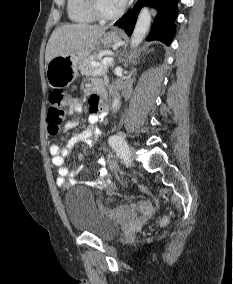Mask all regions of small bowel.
Instances as JSON below:
<instances>
[{
  "label": "small bowel",
  "mask_w": 233,
  "mask_h": 284,
  "mask_svg": "<svg viewBox=\"0 0 233 284\" xmlns=\"http://www.w3.org/2000/svg\"><path fill=\"white\" fill-rule=\"evenodd\" d=\"M97 90L100 89L98 85H96ZM83 111L82 104L77 99H70L69 107H68V115H76L80 114ZM89 122L90 125L88 128L83 130L81 133L76 134L72 137L67 145L61 147L57 144H52L49 147V153L52 157V163L58 170V175L56 182L58 186L63 188H68L73 184L79 183L76 177L80 174L82 170H88L82 167L81 164H72L71 166L65 165V159L71 154L72 148L74 145L81 141H90L93 140L97 135L96 124L103 122L106 119L107 112L106 108L103 107L99 98L96 95H92L89 99ZM77 122L74 120L68 121L64 129L69 130L76 126ZM82 155L79 154V159H81ZM109 162L108 156H103L99 160V167L95 171V176L89 181L84 182L89 186H102L109 181L108 171L106 165Z\"/></svg>",
  "instance_id": "1"
}]
</instances>
